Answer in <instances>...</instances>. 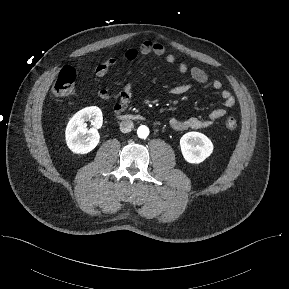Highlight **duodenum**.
I'll return each mask as SVG.
<instances>
[{"instance_id": "410a0bca", "label": "duodenum", "mask_w": 289, "mask_h": 289, "mask_svg": "<svg viewBox=\"0 0 289 289\" xmlns=\"http://www.w3.org/2000/svg\"><path fill=\"white\" fill-rule=\"evenodd\" d=\"M122 118H130L132 116H128V115H120Z\"/></svg>"}]
</instances>
